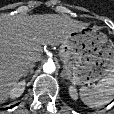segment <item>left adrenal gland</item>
<instances>
[{
	"label": "left adrenal gland",
	"mask_w": 114,
	"mask_h": 114,
	"mask_svg": "<svg viewBox=\"0 0 114 114\" xmlns=\"http://www.w3.org/2000/svg\"><path fill=\"white\" fill-rule=\"evenodd\" d=\"M61 77L64 78L65 77V70L63 69L61 72Z\"/></svg>",
	"instance_id": "a2214340"
}]
</instances>
